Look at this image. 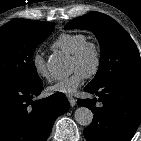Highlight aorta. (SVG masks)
I'll return each instance as SVG.
<instances>
[{
	"label": "aorta",
	"instance_id": "1",
	"mask_svg": "<svg viewBox=\"0 0 141 141\" xmlns=\"http://www.w3.org/2000/svg\"><path fill=\"white\" fill-rule=\"evenodd\" d=\"M49 72L56 78H63L69 73L68 60L59 55H52L47 62ZM75 120L82 126H88L93 120V113L87 107H79L75 111Z\"/></svg>",
	"mask_w": 141,
	"mask_h": 141
}]
</instances>
